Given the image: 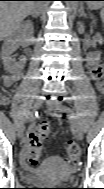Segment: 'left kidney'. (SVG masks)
Masks as SVG:
<instances>
[{
  "mask_svg": "<svg viewBox=\"0 0 104 189\" xmlns=\"http://www.w3.org/2000/svg\"><path fill=\"white\" fill-rule=\"evenodd\" d=\"M97 38L99 39V42L102 41V38H101V36L99 34H97ZM87 60L90 63H97L100 60V55L90 54L89 57L87 58Z\"/></svg>",
  "mask_w": 104,
  "mask_h": 189,
  "instance_id": "obj_1",
  "label": "left kidney"
}]
</instances>
